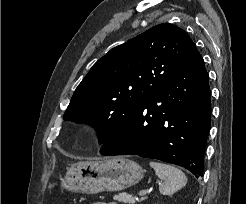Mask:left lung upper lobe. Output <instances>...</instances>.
I'll list each match as a JSON object with an SVG mask.
<instances>
[{"label":"left lung upper lobe","mask_w":246,"mask_h":204,"mask_svg":"<svg viewBox=\"0 0 246 204\" xmlns=\"http://www.w3.org/2000/svg\"><path fill=\"white\" fill-rule=\"evenodd\" d=\"M196 50L181 28L168 23L154 26L93 65L76 88L64 120L95 126L104 144Z\"/></svg>","instance_id":"5c2ea615"}]
</instances>
